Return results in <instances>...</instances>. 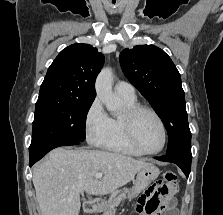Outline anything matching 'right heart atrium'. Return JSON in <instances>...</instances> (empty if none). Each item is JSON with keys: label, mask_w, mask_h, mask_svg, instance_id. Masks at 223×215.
I'll return each mask as SVG.
<instances>
[{"label": "right heart atrium", "mask_w": 223, "mask_h": 215, "mask_svg": "<svg viewBox=\"0 0 223 215\" xmlns=\"http://www.w3.org/2000/svg\"><path fill=\"white\" fill-rule=\"evenodd\" d=\"M111 119L104 110L101 101L95 98L90 104L86 116L84 127L90 134L92 142H100L110 128Z\"/></svg>", "instance_id": "right-heart-atrium-1"}]
</instances>
